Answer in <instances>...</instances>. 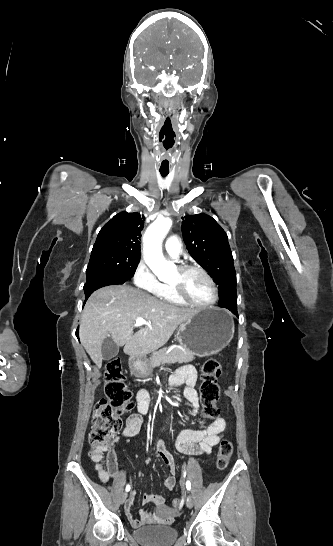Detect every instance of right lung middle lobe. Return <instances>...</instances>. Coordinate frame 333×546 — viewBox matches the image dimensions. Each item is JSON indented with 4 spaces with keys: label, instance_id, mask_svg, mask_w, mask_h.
Listing matches in <instances>:
<instances>
[{
    "label": "right lung middle lobe",
    "instance_id": "dd1d6c3e",
    "mask_svg": "<svg viewBox=\"0 0 333 546\" xmlns=\"http://www.w3.org/2000/svg\"><path fill=\"white\" fill-rule=\"evenodd\" d=\"M139 263V257L123 251L101 250L91 252L86 276L106 274L124 280H130Z\"/></svg>",
    "mask_w": 333,
    "mask_h": 546
}]
</instances>
